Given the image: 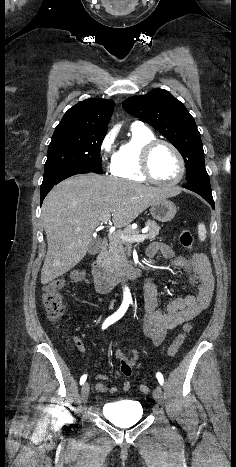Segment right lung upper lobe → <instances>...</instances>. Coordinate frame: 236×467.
<instances>
[{
  "label": "right lung upper lobe",
  "mask_w": 236,
  "mask_h": 467,
  "mask_svg": "<svg viewBox=\"0 0 236 467\" xmlns=\"http://www.w3.org/2000/svg\"><path fill=\"white\" fill-rule=\"evenodd\" d=\"M114 103L110 100L90 98L74 105L63 116L56 129L107 132Z\"/></svg>",
  "instance_id": "obj_1"
}]
</instances>
